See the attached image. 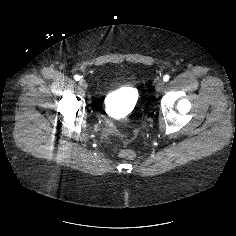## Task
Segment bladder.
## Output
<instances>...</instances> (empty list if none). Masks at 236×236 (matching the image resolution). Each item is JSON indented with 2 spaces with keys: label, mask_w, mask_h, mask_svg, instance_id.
<instances>
[{
  "label": "bladder",
  "mask_w": 236,
  "mask_h": 236,
  "mask_svg": "<svg viewBox=\"0 0 236 236\" xmlns=\"http://www.w3.org/2000/svg\"><path fill=\"white\" fill-rule=\"evenodd\" d=\"M138 101V90L132 86H123L108 92L104 105L106 110L115 113L125 108L134 107Z\"/></svg>",
  "instance_id": "bladder-1"
}]
</instances>
